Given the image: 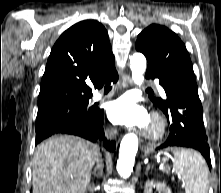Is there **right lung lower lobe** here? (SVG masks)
<instances>
[{"instance_id": "obj_1", "label": "right lung lower lobe", "mask_w": 221, "mask_h": 193, "mask_svg": "<svg viewBox=\"0 0 221 193\" xmlns=\"http://www.w3.org/2000/svg\"><path fill=\"white\" fill-rule=\"evenodd\" d=\"M118 80V74L117 72L113 73L106 81L105 83H111L116 82ZM97 113L95 115L94 121L90 125H70L63 127L59 130L39 134L36 135V144H38L43 139L53 135V134H72L77 135L83 138H86L92 142H95L97 139H103L104 138V132H103V113L104 111L102 109H97ZM107 150L114 151L115 150V142L106 141L104 144Z\"/></svg>"}]
</instances>
